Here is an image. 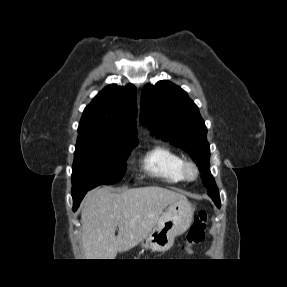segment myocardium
Wrapping results in <instances>:
<instances>
[{"label":"myocardium","instance_id":"myocardium-1","mask_svg":"<svg viewBox=\"0 0 287 287\" xmlns=\"http://www.w3.org/2000/svg\"><path fill=\"white\" fill-rule=\"evenodd\" d=\"M181 173L184 180L194 181L199 176V168L193 161L184 160L181 168Z\"/></svg>","mask_w":287,"mask_h":287}]
</instances>
